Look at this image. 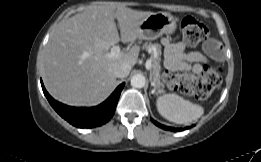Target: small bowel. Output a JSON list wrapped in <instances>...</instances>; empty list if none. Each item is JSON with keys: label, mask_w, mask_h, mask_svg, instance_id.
Segmentation results:
<instances>
[{"label": "small bowel", "mask_w": 261, "mask_h": 162, "mask_svg": "<svg viewBox=\"0 0 261 162\" xmlns=\"http://www.w3.org/2000/svg\"><path fill=\"white\" fill-rule=\"evenodd\" d=\"M162 43L165 46V66L172 71H192L200 74L210 60L221 61L224 58L222 46L214 40L204 43L205 54L185 51V46L180 41L163 39Z\"/></svg>", "instance_id": "obj_1"}]
</instances>
